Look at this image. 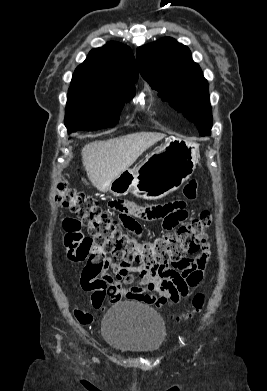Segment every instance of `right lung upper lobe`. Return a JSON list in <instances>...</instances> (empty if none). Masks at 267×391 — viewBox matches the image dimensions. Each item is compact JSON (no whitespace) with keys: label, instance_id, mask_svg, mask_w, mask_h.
I'll return each instance as SVG.
<instances>
[{"label":"right lung upper lobe","instance_id":"obj_1","mask_svg":"<svg viewBox=\"0 0 267 391\" xmlns=\"http://www.w3.org/2000/svg\"><path fill=\"white\" fill-rule=\"evenodd\" d=\"M137 66L131 49L118 42H108L93 49L79 65L71 83H90L108 91L135 92Z\"/></svg>","mask_w":267,"mask_h":391}]
</instances>
